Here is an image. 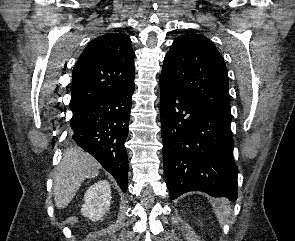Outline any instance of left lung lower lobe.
Returning <instances> with one entry per match:
<instances>
[{"label":"left lung lower lobe","instance_id":"left-lung-lower-lobe-1","mask_svg":"<svg viewBox=\"0 0 295 241\" xmlns=\"http://www.w3.org/2000/svg\"><path fill=\"white\" fill-rule=\"evenodd\" d=\"M164 171L171 199L188 191L237 199L231 119L160 77Z\"/></svg>","mask_w":295,"mask_h":241}]
</instances>
